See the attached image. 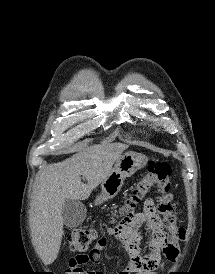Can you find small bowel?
<instances>
[{"label": "small bowel", "instance_id": "1", "mask_svg": "<svg viewBox=\"0 0 215 274\" xmlns=\"http://www.w3.org/2000/svg\"><path fill=\"white\" fill-rule=\"evenodd\" d=\"M150 233L148 252H141L142 232ZM107 236L113 237L125 250L128 256L126 268L116 274H157V269H164L166 261L175 262L179 255L178 244L170 242L159 220L154 202L147 199L141 211L124 217L114 227L104 231ZM107 246L105 237H101L88 254H79L69 261L67 274H103L84 269L91 262L99 264L101 253ZM163 253V255H162Z\"/></svg>", "mask_w": 215, "mask_h": 274}]
</instances>
